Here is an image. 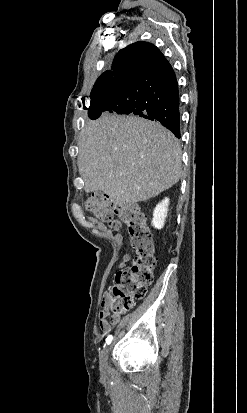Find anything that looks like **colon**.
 <instances>
[{"instance_id": "5ec220e1", "label": "colon", "mask_w": 247, "mask_h": 413, "mask_svg": "<svg viewBox=\"0 0 247 413\" xmlns=\"http://www.w3.org/2000/svg\"><path fill=\"white\" fill-rule=\"evenodd\" d=\"M86 207L110 229L118 231L121 224L126 225L133 247V264L126 266L116 275L110 304L111 313L126 312L145 297L148 286L154 280L157 254L153 233L146 226L145 217L137 205H123L108 196L96 195L87 202Z\"/></svg>"}]
</instances>
